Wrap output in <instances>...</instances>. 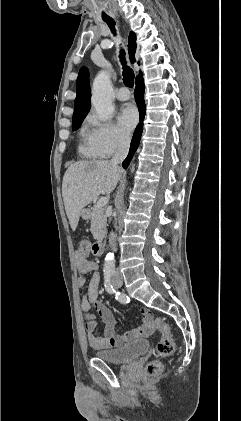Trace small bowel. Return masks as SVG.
Segmentation results:
<instances>
[{
  "label": "small bowel",
  "instance_id": "1",
  "mask_svg": "<svg viewBox=\"0 0 241 421\" xmlns=\"http://www.w3.org/2000/svg\"><path fill=\"white\" fill-rule=\"evenodd\" d=\"M76 266L78 272L81 274L77 280L78 286L82 288L87 284L82 297L81 311L85 318V328L88 332V343L91 348L103 350L117 347L125 342L148 336L154 332L153 315L148 309L143 308L141 310L143 324L122 334H117L116 320L113 312L98 299L100 283L98 264L89 260L88 256L81 255L77 252ZM85 275L89 276L88 280ZM94 312L101 317L105 325L103 333L98 331Z\"/></svg>",
  "mask_w": 241,
  "mask_h": 421
}]
</instances>
